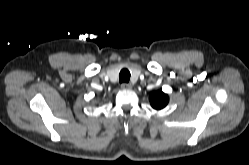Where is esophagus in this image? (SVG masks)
Wrapping results in <instances>:
<instances>
[{"label":"esophagus","mask_w":249,"mask_h":165,"mask_svg":"<svg viewBox=\"0 0 249 165\" xmlns=\"http://www.w3.org/2000/svg\"><path fill=\"white\" fill-rule=\"evenodd\" d=\"M121 88L123 90H130V89H132V86H131V84H128V83H122Z\"/></svg>","instance_id":"1"}]
</instances>
